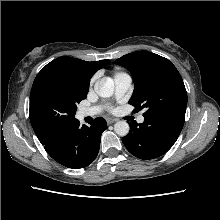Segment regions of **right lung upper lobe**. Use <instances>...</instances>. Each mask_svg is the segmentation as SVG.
I'll use <instances>...</instances> for the list:
<instances>
[{"mask_svg": "<svg viewBox=\"0 0 220 220\" xmlns=\"http://www.w3.org/2000/svg\"><path fill=\"white\" fill-rule=\"evenodd\" d=\"M108 63V60L96 62H88L72 57H59L48 63L39 73L44 72H65L79 78L81 82L89 90V82L92 75L99 69L103 68ZM41 144H45L55 135H45L35 132Z\"/></svg>", "mask_w": 220, "mask_h": 220, "instance_id": "right-lung-upper-lobe-1", "label": "right lung upper lobe"}]
</instances>
